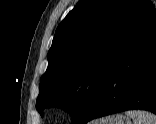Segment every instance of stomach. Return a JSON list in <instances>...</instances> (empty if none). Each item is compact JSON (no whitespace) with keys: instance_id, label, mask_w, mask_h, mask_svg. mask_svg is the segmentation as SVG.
Here are the masks:
<instances>
[{"instance_id":"obj_1","label":"stomach","mask_w":156,"mask_h":124,"mask_svg":"<svg viewBox=\"0 0 156 124\" xmlns=\"http://www.w3.org/2000/svg\"><path fill=\"white\" fill-rule=\"evenodd\" d=\"M106 124H131L129 118H126L123 115H115L111 119L105 122Z\"/></svg>"}]
</instances>
